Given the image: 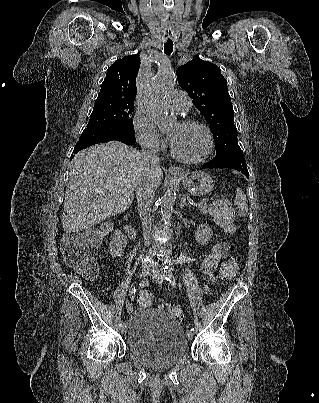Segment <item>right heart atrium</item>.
<instances>
[{
    "label": "right heart atrium",
    "mask_w": 319,
    "mask_h": 403,
    "mask_svg": "<svg viewBox=\"0 0 319 403\" xmlns=\"http://www.w3.org/2000/svg\"><path fill=\"white\" fill-rule=\"evenodd\" d=\"M133 127L136 139L142 148L152 153L162 150L164 142L144 112H136L133 119Z\"/></svg>",
    "instance_id": "right-heart-atrium-1"
}]
</instances>
